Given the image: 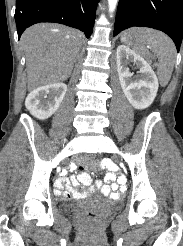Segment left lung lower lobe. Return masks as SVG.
I'll return each mask as SVG.
<instances>
[{
  "label": "left lung lower lobe",
  "mask_w": 183,
  "mask_h": 246,
  "mask_svg": "<svg viewBox=\"0 0 183 246\" xmlns=\"http://www.w3.org/2000/svg\"><path fill=\"white\" fill-rule=\"evenodd\" d=\"M133 26L163 31L179 51L183 38V0H119L113 36Z\"/></svg>",
  "instance_id": "obj_1"
}]
</instances>
